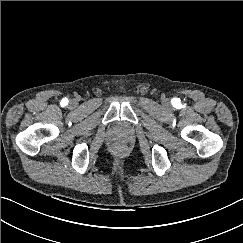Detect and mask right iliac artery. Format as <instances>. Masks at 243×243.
<instances>
[{"label": "right iliac artery", "instance_id": "obj_1", "mask_svg": "<svg viewBox=\"0 0 243 243\" xmlns=\"http://www.w3.org/2000/svg\"><path fill=\"white\" fill-rule=\"evenodd\" d=\"M63 104H64V105H66V104H67V102H63Z\"/></svg>", "mask_w": 243, "mask_h": 243}]
</instances>
